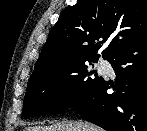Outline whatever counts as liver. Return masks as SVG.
I'll return each instance as SVG.
<instances>
[{"label":"liver","mask_w":147,"mask_h":131,"mask_svg":"<svg viewBox=\"0 0 147 131\" xmlns=\"http://www.w3.org/2000/svg\"><path fill=\"white\" fill-rule=\"evenodd\" d=\"M25 131H102L97 126L83 121H66L50 126H31Z\"/></svg>","instance_id":"liver-1"}]
</instances>
